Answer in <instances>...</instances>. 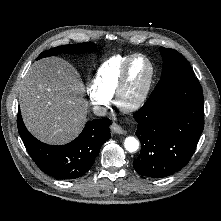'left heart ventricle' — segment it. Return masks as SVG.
<instances>
[{
	"label": "left heart ventricle",
	"mask_w": 221,
	"mask_h": 221,
	"mask_svg": "<svg viewBox=\"0 0 221 221\" xmlns=\"http://www.w3.org/2000/svg\"><path fill=\"white\" fill-rule=\"evenodd\" d=\"M149 72V65L144 59L138 58L133 62L129 72L125 102H132L140 95L147 82Z\"/></svg>",
	"instance_id": "obj_1"
}]
</instances>
